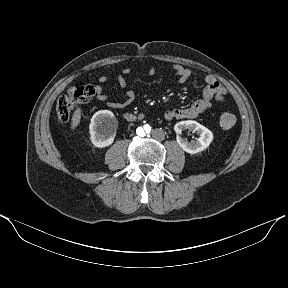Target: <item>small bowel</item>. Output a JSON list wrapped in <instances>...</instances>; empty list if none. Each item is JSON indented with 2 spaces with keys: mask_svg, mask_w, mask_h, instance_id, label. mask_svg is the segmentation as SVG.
<instances>
[{
  "mask_svg": "<svg viewBox=\"0 0 288 288\" xmlns=\"http://www.w3.org/2000/svg\"><path fill=\"white\" fill-rule=\"evenodd\" d=\"M175 73L178 82L183 84L187 82L191 76L192 71L180 64H173L171 66ZM131 73V69H123L117 76L118 84L121 88L127 87L126 76ZM150 76L155 74V69L151 68L148 71ZM109 81L107 76H101L99 78V85H96V98L97 100L106 103L111 108H123L124 106L132 103L135 99V94L131 90H127L124 93L123 99L120 101L111 99L105 92L103 84ZM227 91L225 87L212 75L205 78V87L202 92V97L192 103L191 105L184 108H174L165 111L163 117L166 121H172L177 119H194L201 113L211 108L214 102H222L226 96Z\"/></svg>",
  "mask_w": 288,
  "mask_h": 288,
  "instance_id": "1",
  "label": "small bowel"
}]
</instances>
